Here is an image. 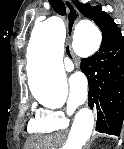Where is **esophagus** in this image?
<instances>
[{
	"mask_svg": "<svg viewBox=\"0 0 124 149\" xmlns=\"http://www.w3.org/2000/svg\"><path fill=\"white\" fill-rule=\"evenodd\" d=\"M67 10V41L70 42L74 27L80 19V13L71 0H63Z\"/></svg>",
	"mask_w": 124,
	"mask_h": 149,
	"instance_id": "esophagus-1",
	"label": "esophagus"
}]
</instances>
